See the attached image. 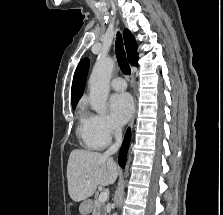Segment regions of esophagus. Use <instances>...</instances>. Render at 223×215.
<instances>
[{
	"label": "esophagus",
	"instance_id": "obj_1",
	"mask_svg": "<svg viewBox=\"0 0 223 215\" xmlns=\"http://www.w3.org/2000/svg\"><path fill=\"white\" fill-rule=\"evenodd\" d=\"M136 111H137V108H136V102H135L134 112H133L132 118H131L130 123H129V126H130V127L133 126L134 119H135V116H136Z\"/></svg>",
	"mask_w": 223,
	"mask_h": 215
}]
</instances>
